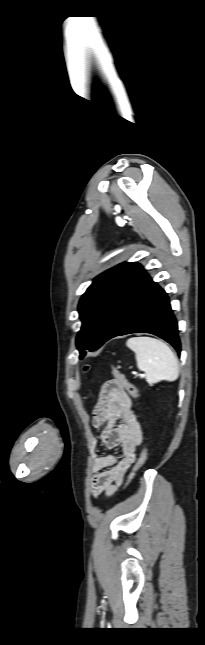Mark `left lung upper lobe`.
Segmentation results:
<instances>
[{"instance_id":"1","label":"left lung upper lobe","mask_w":205,"mask_h":645,"mask_svg":"<svg viewBox=\"0 0 205 645\" xmlns=\"http://www.w3.org/2000/svg\"><path fill=\"white\" fill-rule=\"evenodd\" d=\"M135 265V262H125L100 274L80 299L78 311L82 327L76 345L81 358L86 353L84 350L93 351L102 346L114 303Z\"/></svg>"}]
</instances>
